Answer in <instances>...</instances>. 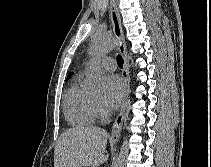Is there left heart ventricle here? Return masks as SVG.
I'll list each match as a JSON object with an SVG mask.
<instances>
[{"mask_svg": "<svg viewBox=\"0 0 211 167\" xmlns=\"http://www.w3.org/2000/svg\"><path fill=\"white\" fill-rule=\"evenodd\" d=\"M101 98H102V95H101V94H96V95H95V99H96V100L100 101Z\"/></svg>", "mask_w": 211, "mask_h": 167, "instance_id": "obj_1", "label": "left heart ventricle"}]
</instances>
